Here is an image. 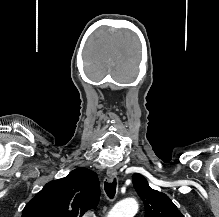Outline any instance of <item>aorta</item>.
<instances>
[{"mask_svg":"<svg viewBox=\"0 0 219 217\" xmlns=\"http://www.w3.org/2000/svg\"><path fill=\"white\" fill-rule=\"evenodd\" d=\"M138 210L135 199L129 198L117 203L107 217H134Z\"/></svg>","mask_w":219,"mask_h":217,"instance_id":"762f6f07","label":"aorta"}]
</instances>
